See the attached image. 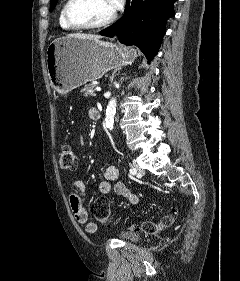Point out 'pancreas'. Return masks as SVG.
Returning a JSON list of instances; mask_svg holds the SVG:
<instances>
[{"label": "pancreas", "mask_w": 240, "mask_h": 281, "mask_svg": "<svg viewBox=\"0 0 240 281\" xmlns=\"http://www.w3.org/2000/svg\"><path fill=\"white\" fill-rule=\"evenodd\" d=\"M95 85L93 84H89L86 85L82 90L81 93H83V96L87 97V96H95Z\"/></svg>", "instance_id": "cf45deb5"}]
</instances>
